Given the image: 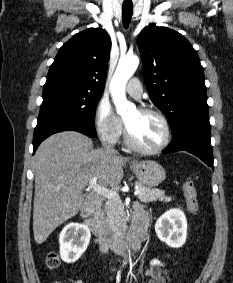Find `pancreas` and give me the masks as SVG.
<instances>
[{
	"instance_id": "cf45deb5",
	"label": "pancreas",
	"mask_w": 233,
	"mask_h": 283,
	"mask_svg": "<svg viewBox=\"0 0 233 283\" xmlns=\"http://www.w3.org/2000/svg\"><path fill=\"white\" fill-rule=\"evenodd\" d=\"M140 190L138 199L142 202H153L156 200L169 202L172 197L165 196V192L157 188L144 186L141 182H135ZM101 218L110 226L115 233H121L124 228V209L119 200H107L101 211Z\"/></svg>"
}]
</instances>
